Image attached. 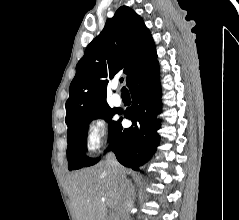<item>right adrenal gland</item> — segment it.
<instances>
[{
  "label": "right adrenal gland",
  "instance_id": "1",
  "mask_svg": "<svg viewBox=\"0 0 239 220\" xmlns=\"http://www.w3.org/2000/svg\"><path fill=\"white\" fill-rule=\"evenodd\" d=\"M131 191L134 192V187L133 186H131Z\"/></svg>",
  "mask_w": 239,
  "mask_h": 220
}]
</instances>
